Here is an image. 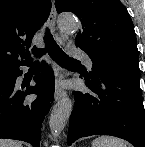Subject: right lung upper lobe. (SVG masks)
<instances>
[{
  "instance_id": "right-lung-upper-lobe-1",
  "label": "right lung upper lobe",
  "mask_w": 145,
  "mask_h": 147,
  "mask_svg": "<svg viewBox=\"0 0 145 147\" xmlns=\"http://www.w3.org/2000/svg\"><path fill=\"white\" fill-rule=\"evenodd\" d=\"M50 10V0H0V72L30 61L26 50Z\"/></svg>"
}]
</instances>
